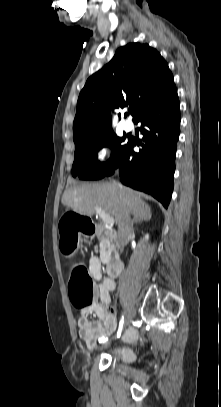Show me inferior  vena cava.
Instances as JSON below:
<instances>
[{
  "mask_svg": "<svg viewBox=\"0 0 221 407\" xmlns=\"http://www.w3.org/2000/svg\"><path fill=\"white\" fill-rule=\"evenodd\" d=\"M117 186L121 189V185L115 182ZM133 220L130 217V212L124 209L122 218L118 224V238L121 245L127 244L129 238L133 235Z\"/></svg>",
  "mask_w": 221,
  "mask_h": 407,
  "instance_id": "inferior-vena-cava-1",
  "label": "inferior vena cava"
}]
</instances>
